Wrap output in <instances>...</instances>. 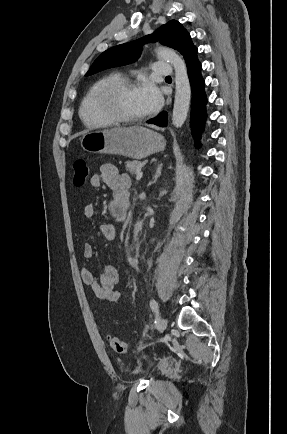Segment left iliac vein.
I'll return each instance as SVG.
<instances>
[{
  "mask_svg": "<svg viewBox=\"0 0 287 434\" xmlns=\"http://www.w3.org/2000/svg\"><path fill=\"white\" fill-rule=\"evenodd\" d=\"M168 325V319L166 317H162L158 324V332L162 333Z\"/></svg>",
  "mask_w": 287,
  "mask_h": 434,
  "instance_id": "1",
  "label": "left iliac vein"
}]
</instances>
